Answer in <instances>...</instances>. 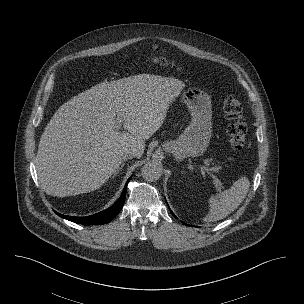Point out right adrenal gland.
<instances>
[{"instance_id":"obj_1","label":"right adrenal gland","mask_w":304,"mask_h":304,"mask_svg":"<svg viewBox=\"0 0 304 304\" xmlns=\"http://www.w3.org/2000/svg\"><path fill=\"white\" fill-rule=\"evenodd\" d=\"M124 167V163L121 165V167L114 173V176L116 175V174H118V172L122 169ZM113 176V177H114Z\"/></svg>"}]
</instances>
